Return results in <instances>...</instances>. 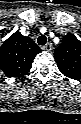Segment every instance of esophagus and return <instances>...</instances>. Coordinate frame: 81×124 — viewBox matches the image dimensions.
I'll use <instances>...</instances> for the list:
<instances>
[{
    "mask_svg": "<svg viewBox=\"0 0 81 124\" xmlns=\"http://www.w3.org/2000/svg\"><path fill=\"white\" fill-rule=\"evenodd\" d=\"M45 51H51L52 50V43L48 42L46 45L42 47Z\"/></svg>",
    "mask_w": 81,
    "mask_h": 124,
    "instance_id": "1",
    "label": "esophagus"
}]
</instances>
